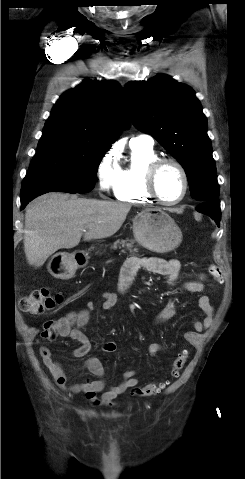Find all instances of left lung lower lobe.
<instances>
[{
	"label": "left lung lower lobe",
	"instance_id": "1",
	"mask_svg": "<svg viewBox=\"0 0 245 479\" xmlns=\"http://www.w3.org/2000/svg\"><path fill=\"white\" fill-rule=\"evenodd\" d=\"M196 210L210 216L216 222L217 226L220 225L221 210L218 198L201 203Z\"/></svg>",
	"mask_w": 245,
	"mask_h": 479
}]
</instances>
